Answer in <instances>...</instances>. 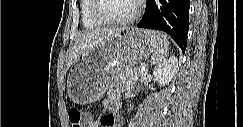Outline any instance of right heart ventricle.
I'll return each mask as SVG.
<instances>
[{
    "label": "right heart ventricle",
    "instance_id": "obj_1",
    "mask_svg": "<svg viewBox=\"0 0 243 127\" xmlns=\"http://www.w3.org/2000/svg\"><path fill=\"white\" fill-rule=\"evenodd\" d=\"M93 5V0H82L80 3L81 21L87 29H95L104 25L94 17Z\"/></svg>",
    "mask_w": 243,
    "mask_h": 127
}]
</instances>
